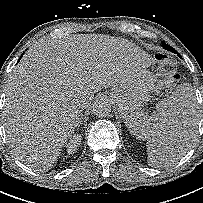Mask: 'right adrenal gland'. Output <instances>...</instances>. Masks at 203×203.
Returning a JSON list of instances; mask_svg holds the SVG:
<instances>
[{
	"instance_id": "1",
	"label": "right adrenal gland",
	"mask_w": 203,
	"mask_h": 203,
	"mask_svg": "<svg viewBox=\"0 0 203 203\" xmlns=\"http://www.w3.org/2000/svg\"><path fill=\"white\" fill-rule=\"evenodd\" d=\"M83 114H81V118H80V123L78 124V127H80L82 125V122H83Z\"/></svg>"
}]
</instances>
